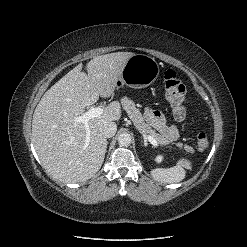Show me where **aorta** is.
I'll use <instances>...</instances> for the list:
<instances>
[{"label":"aorta","instance_id":"aorta-1","mask_svg":"<svg viewBox=\"0 0 247 247\" xmlns=\"http://www.w3.org/2000/svg\"><path fill=\"white\" fill-rule=\"evenodd\" d=\"M132 138L128 133H122L118 137V143L120 146H129L131 144Z\"/></svg>","mask_w":247,"mask_h":247}]
</instances>
